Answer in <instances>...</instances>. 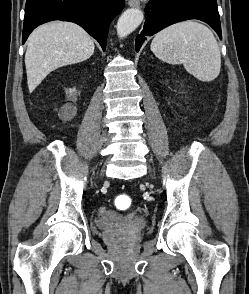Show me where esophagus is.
Segmentation results:
<instances>
[{
	"label": "esophagus",
	"mask_w": 249,
	"mask_h": 294,
	"mask_svg": "<svg viewBox=\"0 0 249 294\" xmlns=\"http://www.w3.org/2000/svg\"><path fill=\"white\" fill-rule=\"evenodd\" d=\"M128 5L133 8H139L140 2L139 0H129Z\"/></svg>",
	"instance_id": "esophagus-1"
}]
</instances>
